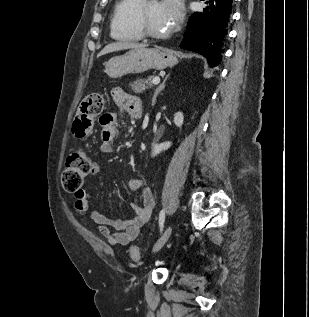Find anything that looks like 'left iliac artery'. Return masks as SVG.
<instances>
[{
  "label": "left iliac artery",
  "instance_id": "1",
  "mask_svg": "<svg viewBox=\"0 0 309 317\" xmlns=\"http://www.w3.org/2000/svg\"><path fill=\"white\" fill-rule=\"evenodd\" d=\"M164 221H165V210H161L159 214V226H160V232L163 231L164 227Z\"/></svg>",
  "mask_w": 309,
  "mask_h": 317
}]
</instances>
